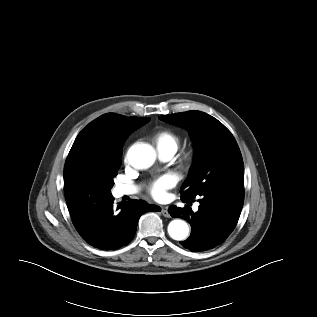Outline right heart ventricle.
Segmentation results:
<instances>
[{
	"label": "right heart ventricle",
	"mask_w": 317,
	"mask_h": 317,
	"mask_svg": "<svg viewBox=\"0 0 317 317\" xmlns=\"http://www.w3.org/2000/svg\"><path fill=\"white\" fill-rule=\"evenodd\" d=\"M152 140L159 152L175 153L179 147L181 138L179 134L171 129H160L156 131Z\"/></svg>",
	"instance_id": "e07e8e85"
}]
</instances>
